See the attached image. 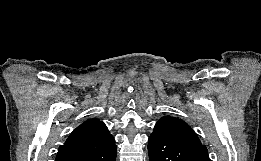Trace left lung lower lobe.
<instances>
[{
  "instance_id": "1",
  "label": "left lung lower lobe",
  "mask_w": 261,
  "mask_h": 161,
  "mask_svg": "<svg viewBox=\"0 0 261 161\" xmlns=\"http://www.w3.org/2000/svg\"><path fill=\"white\" fill-rule=\"evenodd\" d=\"M150 161H210L205 146H188L155 135L149 137Z\"/></svg>"
}]
</instances>
